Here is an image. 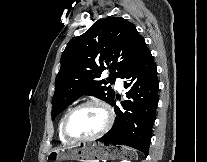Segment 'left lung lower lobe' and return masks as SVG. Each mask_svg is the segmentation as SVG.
<instances>
[{"label": "left lung lower lobe", "mask_w": 207, "mask_h": 162, "mask_svg": "<svg viewBox=\"0 0 207 162\" xmlns=\"http://www.w3.org/2000/svg\"><path fill=\"white\" fill-rule=\"evenodd\" d=\"M122 79L129 90L127 100L121 102L122 108L115 106L117 116L113 128L97 141L130 146L147 156L159 101L157 68L149 50ZM115 103L116 99L111 105Z\"/></svg>", "instance_id": "left-lung-lower-lobe-1"}]
</instances>
